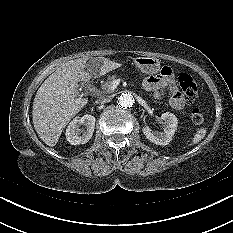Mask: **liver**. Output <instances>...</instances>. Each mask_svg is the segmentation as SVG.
Listing matches in <instances>:
<instances>
[{"label":"liver","instance_id":"6515ba94","mask_svg":"<svg viewBox=\"0 0 233 233\" xmlns=\"http://www.w3.org/2000/svg\"><path fill=\"white\" fill-rule=\"evenodd\" d=\"M84 56L70 60L52 73L38 89L33 102V125L41 140L55 146L68 122L88 103L87 98H76L78 82L88 81L115 70L122 64L100 57L90 73Z\"/></svg>","mask_w":233,"mask_h":233}]
</instances>
